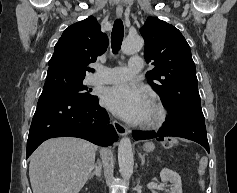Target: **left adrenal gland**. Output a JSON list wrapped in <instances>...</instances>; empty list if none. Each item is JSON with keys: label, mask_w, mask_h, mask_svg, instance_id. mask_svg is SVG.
<instances>
[{"label": "left adrenal gland", "mask_w": 237, "mask_h": 193, "mask_svg": "<svg viewBox=\"0 0 237 193\" xmlns=\"http://www.w3.org/2000/svg\"><path fill=\"white\" fill-rule=\"evenodd\" d=\"M140 158H141L142 165H144L145 164V154H143V155L140 154Z\"/></svg>", "instance_id": "1"}]
</instances>
